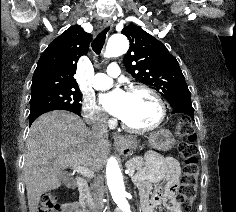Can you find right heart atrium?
Returning <instances> with one entry per match:
<instances>
[{"instance_id": "d8ad5b80", "label": "right heart atrium", "mask_w": 236, "mask_h": 212, "mask_svg": "<svg viewBox=\"0 0 236 212\" xmlns=\"http://www.w3.org/2000/svg\"><path fill=\"white\" fill-rule=\"evenodd\" d=\"M82 113L86 122L92 127L103 128L109 124L107 116L92 97L83 100Z\"/></svg>"}]
</instances>
